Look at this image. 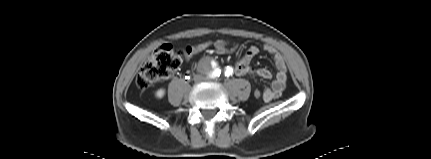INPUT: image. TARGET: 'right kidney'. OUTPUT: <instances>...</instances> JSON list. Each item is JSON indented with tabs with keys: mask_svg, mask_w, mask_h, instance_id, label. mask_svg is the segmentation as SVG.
I'll use <instances>...</instances> for the list:
<instances>
[{
	"mask_svg": "<svg viewBox=\"0 0 431 159\" xmlns=\"http://www.w3.org/2000/svg\"><path fill=\"white\" fill-rule=\"evenodd\" d=\"M157 98H162L165 95V90L164 89H159L156 91L155 93Z\"/></svg>",
	"mask_w": 431,
	"mask_h": 159,
	"instance_id": "obj_1",
	"label": "right kidney"
}]
</instances>
